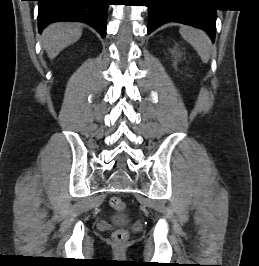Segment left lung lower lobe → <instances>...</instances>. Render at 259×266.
Segmentation results:
<instances>
[{
    "instance_id": "1",
    "label": "left lung lower lobe",
    "mask_w": 259,
    "mask_h": 266,
    "mask_svg": "<svg viewBox=\"0 0 259 266\" xmlns=\"http://www.w3.org/2000/svg\"><path fill=\"white\" fill-rule=\"evenodd\" d=\"M149 8L148 34L168 22L194 26L215 40L216 10L205 7L202 0L194 5L190 0H147Z\"/></svg>"
}]
</instances>
